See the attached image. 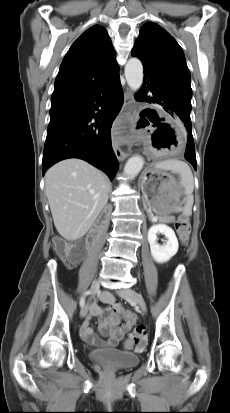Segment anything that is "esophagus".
I'll return each mask as SVG.
<instances>
[{
  "label": "esophagus",
  "mask_w": 230,
  "mask_h": 413,
  "mask_svg": "<svg viewBox=\"0 0 230 413\" xmlns=\"http://www.w3.org/2000/svg\"><path fill=\"white\" fill-rule=\"evenodd\" d=\"M133 102H134L133 94L131 93V91L126 90V92H125V102H124V106H125L126 110H129V105ZM114 151H115V154H116V157H117L118 160H124L128 156L127 153L123 152L120 149L117 142H115Z\"/></svg>",
  "instance_id": "34e87169"
}]
</instances>
